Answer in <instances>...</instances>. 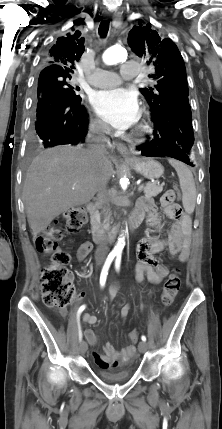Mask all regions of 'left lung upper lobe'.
Masks as SVG:
<instances>
[{
	"label": "left lung upper lobe",
	"mask_w": 222,
	"mask_h": 429,
	"mask_svg": "<svg viewBox=\"0 0 222 429\" xmlns=\"http://www.w3.org/2000/svg\"><path fill=\"white\" fill-rule=\"evenodd\" d=\"M128 45L137 56L154 65L155 74L150 77L157 85L140 88L153 114L159 113L170 101H189L184 61L171 39H164L151 24L139 22L129 32Z\"/></svg>",
	"instance_id": "1"
}]
</instances>
